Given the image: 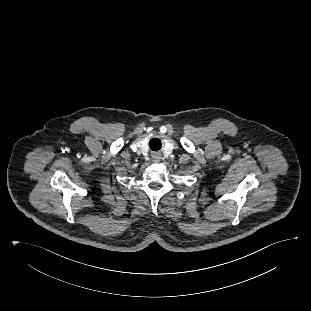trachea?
I'll return each mask as SVG.
<instances>
[{
	"label": "trachea",
	"mask_w": 311,
	"mask_h": 311,
	"mask_svg": "<svg viewBox=\"0 0 311 311\" xmlns=\"http://www.w3.org/2000/svg\"><path fill=\"white\" fill-rule=\"evenodd\" d=\"M149 146L153 150H158L161 147V141L157 138H153L152 140H150Z\"/></svg>",
	"instance_id": "trachea-1"
}]
</instances>
